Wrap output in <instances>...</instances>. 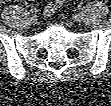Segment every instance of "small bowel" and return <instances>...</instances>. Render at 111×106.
I'll return each instance as SVG.
<instances>
[{"mask_svg": "<svg viewBox=\"0 0 111 106\" xmlns=\"http://www.w3.org/2000/svg\"><path fill=\"white\" fill-rule=\"evenodd\" d=\"M65 3L64 0H53L49 2L43 11V14L45 17H50L54 14V12L57 10L58 7L62 6Z\"/></svg>", "mask_w": 111, "mask_h": 106, "instance_id": "c3829d8e", "label": "small bowel"}]
</instances>
